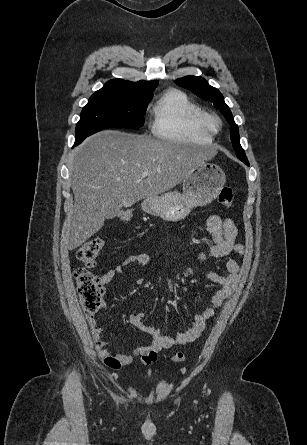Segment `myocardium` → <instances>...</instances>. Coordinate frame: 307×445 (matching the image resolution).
Masks as SVG:
<instances>
[{"mask_svg":"<svg viewBox=\"0 0 307 445\" xmlns=\"http://www.w3.org/2000/svg\"><path fill=\"white\" fill-rule=\"evenodd\" d=\"M209 131L212 134H218L223 129V121L220 117L213 115L207 119Z\"/></svg>","mask_w":307,"mask_h":445,"instance_id":"myocardium-1","label":"myocardium"}]
</instances>
